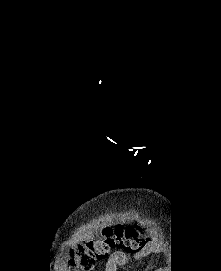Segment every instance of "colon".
Masks as SVG:
<instances>
[{"label":"colon","instance_id":"obj_1","mask_svg":"<svg viewBox=\"0 0 221 271\" xmlns=\"http://www.w3.org/2000/svg\"><path fill=\"white\" fill-rule=\"evenodd\" d=\"M148 241L143 230L128 226H116L106 228L103 236L98 239H90L70 251L73 267L82 271H90L93 266L104 260L110 252L121 249L129 253L140 251Z\"/></svg>","mask_w":221,"mask_h":271}]
</instances>
